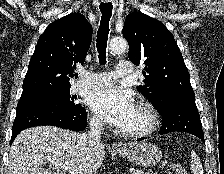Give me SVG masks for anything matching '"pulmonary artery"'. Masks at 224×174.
I'll return each instance as SVG.
<instances>
[{
    "mask_svg": "<svg viewBox=\"0 0 224 174\" xmlns=\"http://www.w3.org/2000/svg\"><path fill=\"white\" fill-rule=\"evenodd\" d=\"M133 74V65L128 61H120L115 71L101 73L81 71L79 73L80 80L75 84L74 88L75 90L101 88L113 84L117 78L129 77Z\"/></svg>",
    "mask_w": 224,
    "mask_h": 174,
    "instance_id": "obj_1",
    "label": "pulmonary artery"
}]
</instances>
